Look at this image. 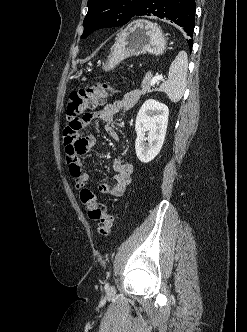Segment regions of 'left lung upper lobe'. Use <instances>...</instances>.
<instances>
[{
    "label": "left lung upper lobe",
    "instance_id": "1",
    "mask_svg": "<svg viewBox=\"0 0 247 332\" xmlns=\"http://www.w3.org/2000/svg\"><path fill=\"white\" fill-rule=\"evenodd\" d=\"M146 0H88V13L84 19L86 38L100 28L127 24Z\"/></svg>",
    "mask_w": 247,
    "mask_h": 332
}]
</instances>
